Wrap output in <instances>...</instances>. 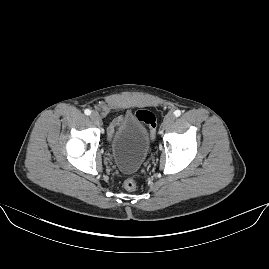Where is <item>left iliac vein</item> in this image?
Listing matches in <instances>:
<instances>
[{"label":"left iliac vein","mask_w":269,"mask_h":269,"mask_svg":"<svg viewBox=\"0 0 269 269\" xmlns=\"http://www.w3.org/2000/svg\"><path fill=\"white\" fill-rule=\"evenodd\" d=\"M175 122V116L173 113H168L166 115V118L164 119L163 123H162V128L163 129H168L171 128L173 126Z\"/></svg>","instance_id":"obj_1"}]
</instances>
